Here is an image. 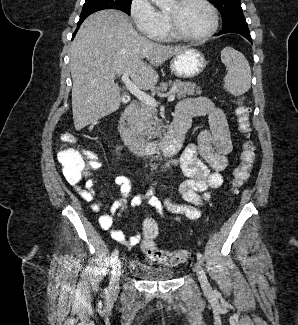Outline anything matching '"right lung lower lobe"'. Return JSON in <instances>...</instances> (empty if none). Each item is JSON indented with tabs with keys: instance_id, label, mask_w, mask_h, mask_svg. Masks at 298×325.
Wrapping results in <instances>:
<instances>
[{
	"instance_id": "right-lung-lower-lobe-1",
	"label": "right lung lower lobe",
	"mask_w": 298,
	"mask_h": 325,
	"mask_svg": "<svg viewBox=\"0 0 298 325\" xmlns=\"http://www.w3.org/2000/svg\"><path fill=\"white\" fill-rule=\"evenodd\" d=\"M82 22H83L82 20H79V22H78V26H77V29H76L75 33H76L77 30L79 29V27H80V25H81ZM75 33H74V35H75Z\"/></svg>"
}]
</instances>
